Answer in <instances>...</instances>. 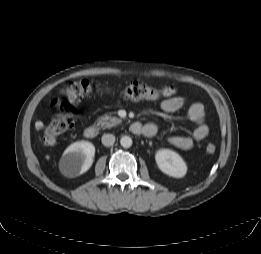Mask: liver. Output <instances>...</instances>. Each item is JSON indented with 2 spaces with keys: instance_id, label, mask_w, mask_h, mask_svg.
Segmentation results:
<instances>
[{
  "instance_id": "1",
  "label": "liver",
  "mask_w": 261,
  "mask_h": 254,
  "mask_svg": "<svg viewBox=\"0 0 261 254\" xmlns=\"http://www.w3.org/2000/svg\"><path fill=\"white\" fill-rule=\"evenodd\" d=\"M42 123L41 122H38V127L40 128V127H42Z\"/></svg>"
}]
</instances>
